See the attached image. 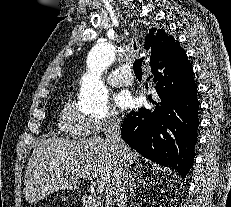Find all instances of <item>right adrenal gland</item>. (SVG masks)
<instances>
[{"instance_id":"obj_1","label":"right adrenal gland","mask_w":231,"mask_h":207,"mask_svg":"<svg viewBox=\"0 0 231 207\" xmlns=\"http://www.w3.org/2000/svg\"><path fill=\"white\" fill-rule=\"evenodd\" d=\"M129 177H130L129 191H130V194H133L134 193V188H136V182H135L136 176L130 173Z\"/></svg>"}]
</instances>
